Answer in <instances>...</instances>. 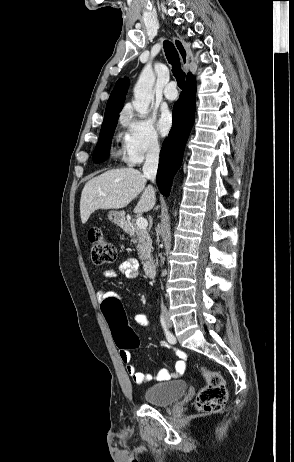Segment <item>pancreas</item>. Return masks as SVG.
I'll return each instance as SVG.
<instances>
[{
	"label": "pancreas",
	"mask_w": 294,
	"mask_h": 462,
	"mask_svg": "<svg viewBox=\"0 0 294 462\" xmlns=\"http://www.w3.org/2000/svg\"><path fill=\"white\" fill-rule=\"evenodd\" d=\"M131 237L132 242L136 244L140 260L146 261L151 259L152 240L147 230L139 229L136 225L132 226Z\"/></svg>",
	"instance_id": "pancreas-1"
}]
</instances>
